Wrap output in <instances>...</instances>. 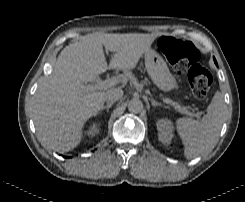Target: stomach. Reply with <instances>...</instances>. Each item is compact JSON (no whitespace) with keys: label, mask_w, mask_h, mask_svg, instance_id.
<instances>
[{"label":"stomach","mask_w":245,"mask_h":202,"mask_svg":"<svg viewBox=\"0 0 245 202\" xmlns=\"http://www.w3.org/2000/svg\"><path fill=\"white\" fill-rule=\"evenodd\" d=\"M145 67L150 78L160 90L169 92L176 87L175 77L156 48H150L145 52Z\"/></svg>","instance_id":"1"}]
</instances>
